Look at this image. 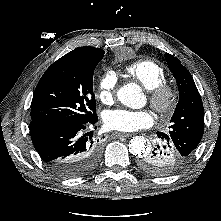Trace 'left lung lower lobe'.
<instances>
[{
    "label": "left lung lower lobe",
    "mask_w": 221,
    "mask_h": 221,
    "mask_svg": "<svg viewBox=\"0 0 221 221\" xmlns=\"http://www.w3.org/2000/svg\"><path fill=\"white\" fill-rule=\"evenodd\" d=\"M156 134L159 143L152 152L139 159L138 167L154 176H169L184 168L189 160L180 154L169 135L163 132Z\"/></svg>",
    "instance_id": "1"
}]
</instances>
